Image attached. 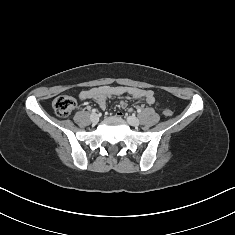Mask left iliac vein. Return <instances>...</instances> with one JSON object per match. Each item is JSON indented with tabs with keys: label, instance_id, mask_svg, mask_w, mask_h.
Segmentation results:
<instances>
[{
	"label": "left iliac vein",
	"instance_id": "obj_1",
	"mask_svg": "<svg viewBox=\"0 0 235 235\" xmlns=\"http://www.w3.org/2000/svg\"><path fill=\"white\" fill-rule=\"evenodd\" d=\"M127 121L132 126H138L140 124L139 119L137 117H135V116L127 117Z\"/></svg>",
	"mask_w": 235,
	"mask_h": 235
}]
</instances>
